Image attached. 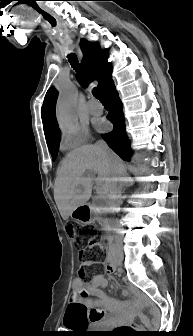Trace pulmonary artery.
Returning a JSON list of instances; mask_svg holds the SVG:
<instances>
[{
	"mask_svg": "<svg viewBox=\"0 0 193 336\" xmlns=\"http://www.w3.org/2000/svg\"><path fill=\"white\" fill-rule=\"evenodd\" d=\"M86 108H87V111L92 115H98V114H101L103 112L102 105L94 99H90L87 102Z\"/></svg>",
	"mask_w": 193,
	"mask_h": 336,
	"instance_id": "obj_1",
	"label": "pulmonary artery"
}]
</instances>
